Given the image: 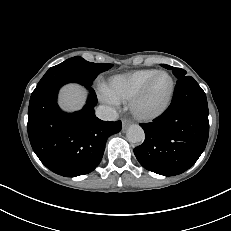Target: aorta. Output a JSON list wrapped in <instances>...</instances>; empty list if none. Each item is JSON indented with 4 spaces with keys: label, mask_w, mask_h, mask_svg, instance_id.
<instances>
[{
    "label": "aorta",
    "mask_w": 231,
    "mask_h": 231,
    "mask_svg": "<svg viewBox=\"0 0 231 231\" xmlns=\"http://www.w3.org/2000/svg\"><path fill=\"white\" fill-rule=\"evenodd\" d=\"M127 139L131 143H141L145 139L144 130L139 125H131L126 133Z\"/></svg>",
    "instance_id": "aorta-1"
}]
</instances>
